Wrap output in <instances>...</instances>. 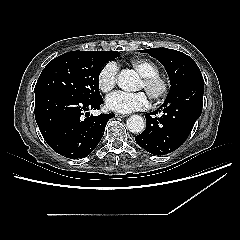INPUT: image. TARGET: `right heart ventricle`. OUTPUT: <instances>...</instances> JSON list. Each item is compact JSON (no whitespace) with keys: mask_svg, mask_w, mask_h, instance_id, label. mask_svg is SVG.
Masks as SVG:
<instances>
[{"mask_svg":"<svg viewBox=\"0 0 240 240\" xmlns=\"http://www.w3.org/2000/svg\"><path fill=\"white\" fill-rule=\"evenodd\" d=\"M130 64L141 77L158 74V69L156 65L150 60L135 58L130 60Z\"/></svg>","mask_w":240,"mask_h":240,"instance_id":"obj_1","label":"right heart ventricle"}]
</instances>
